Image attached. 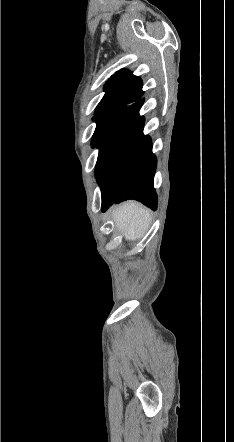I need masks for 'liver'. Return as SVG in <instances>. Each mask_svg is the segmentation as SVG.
Segmentation results:
<instances>
[{"instance_id":"6515ba94","label":"liver","mask_w":234,"mask_h":442,"mask_svg":"<svg viewBox=\"0 0 234 442\" xmlns=\"http://www.w3.org/2000/svg\"><path fill=\"white\" fill-rule=\"evenodd\" d=\"M111 215L119 232L130 241L144 235L151 218L149 210L136 201H127L114 207Z\"/></svg>"}]
</instances>
